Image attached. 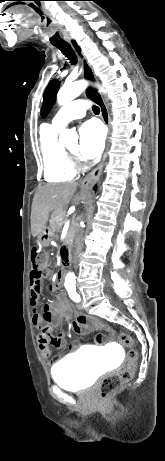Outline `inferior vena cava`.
I'll use <instances>...</instances> for the list:
<instances>
[{
	"mask_svg": "<svg viewBox=\"0 0 165 461\" xmlns=\"http://www.w3.org/2000/svg\"><path fill=\"white\" fill-rule=\"evenodd\" d=\"M81 250H82V232L79 233L78 238H77L75 256H77V254H79Z\"/></svg>",
	"mask_w": 165,
	"mask_h": 461,
	"instance_id": "inferior-vena-cava-1",
	"label": "inferior vena cava"
}]
</instances>
